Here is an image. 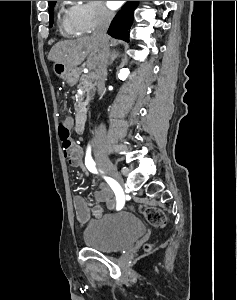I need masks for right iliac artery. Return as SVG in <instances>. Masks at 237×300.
Masks as SVG:
<instances>
[{"instance_id": "82829eb1", "label": "right iliac artery", "mask_w": 237, "mask_h": 300, "mask_svg": "<svg viewBox=\"0 0 237 300\" xmlns=\"http://www.w3.org/2000/svg\"><path fill=\"white\" fill-rule=\"evenodd\" d=\"M85 165L88 168V170L92 173L97 174V169H96V164L93 161L92 157H91V147L89 146L87 149V153H86V158H85ZM104 179L106 180V182L110 185V187L112 188V190L114 191L115 195H116V199H117V209H121L124 205V201L123 199L119 196V192L121 191L120 185L112 178L110 177H104Z\"/></svg>"}]
</instances>
